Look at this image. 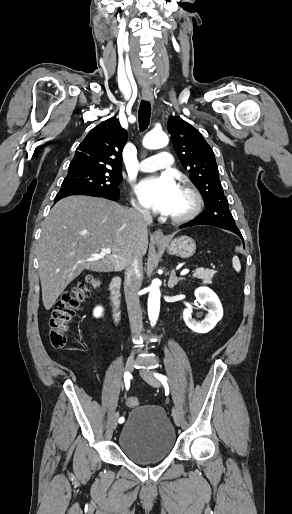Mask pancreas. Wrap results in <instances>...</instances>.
I'll return each mask as SVG.
<instances>
[{
  "instance_id": "cf45deb5",
  "label": "pancreas",
  "mask_w": 292,
  "mask_h": 514,
  "mask_svg": "<svg viewBox=\"0 0 292 514\" xmlns=\"http://www.w3.org/2000/svg\"><path fill=\"white\" fill-rule=\"evenodd\" d=\"M214 274V270H204V268H197L193 276L194 278H199V280H202L203 284H212L211 280Z\"/></svg>"
}]
</instances>
